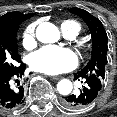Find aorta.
Segmentation results:
<instances>
[{"label": "aorta", "instance_id": "obj_1", "mask_svg": "<svg viewBox=\"0 0 117 117\" xmlns=\"http://www.w3.org/2000/svg\"><path fill=\"white\" fill-rule=\"evenodd\" d=\"M36 36L42 43H55L60 39V31L54 24L43 22L37 27ZM72 89V82L68 79H62L57 84V91L61 95H69Z\"/></svg>", "mask_w": 117, "mask_h": 117}]
</instances>
